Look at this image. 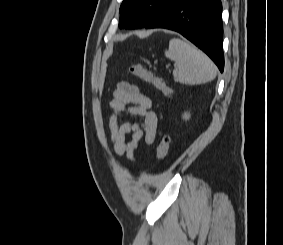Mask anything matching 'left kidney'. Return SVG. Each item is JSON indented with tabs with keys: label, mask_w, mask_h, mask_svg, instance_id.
I'll list each match as a JSON object with an SVG mask.
<instances>
[{
	"label": "left kidney",
	"mask_w": 283,
	"mask_h": 245,
	"mask_svg": "<svg viewBox=\"0 0 283 245\" xmlns=\"http://www.w3.org/2000/svg\"><path fill=\"white\" fill-rule=\"evenodd\" d=\"M189 118H190V113L185 112V113L183 114V119L188 120Z\"/></svg>",
	"instance_id": "1"
}]
</instances>
